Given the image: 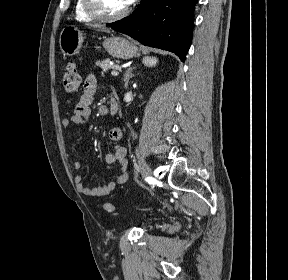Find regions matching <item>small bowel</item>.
I'll list each match as a JSON object with an SVG mask.
<instances>
[{
  "mask_svg": "<svg viewBox=\"0 0 288 280\" xmlns=\"http://www.w3.org/2000/svg\"><path fill=\"white\" fill-rule=\"evenodd\" d=\"M99 89L98 81L95 75L90 74L84 81L83 93L76 104L73 113L61 120V125L64 128H69L72 124H84L91 116V105L94 96ZM110 140L113 146L110 152L105 155V161L109 165L117 164L119 166V174L115 180L110 181L106 185L99 187H89L84 183L83 177L77 175L74 178L77 189L80 193L92 197H104L115 190L118 186L126 182L129 176L128 160L126 158V148L122 144L123 133L118 127H111L109 130ZM76 169H81L83 163L76 161L74 163Z\"/></svg>",
  "mask_w": 288,
  "mask_h": 280,
  "instance_id": "obj_1",
  "label": "small bowel"
}]
</instances>
